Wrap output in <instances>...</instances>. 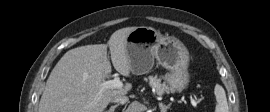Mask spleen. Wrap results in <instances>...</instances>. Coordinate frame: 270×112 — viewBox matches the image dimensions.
<instances>
[{
	"instance_id": "3e777b00",
	"label": "spleen",
	"mask_w": 270,
	"mask_h": 112,
	"mask_svg": "<svg viewBox=\"0 0 270 112\" xmlns=\"http://www.w3.org/2000/svg\"><path fill=\"white\" fill-rule=\"evenodd\" d=\"M214 94L217 101L215 112H229L226 93H225L224 88L217 84L214 89Z\"/></svg>"
}]
</instances>
